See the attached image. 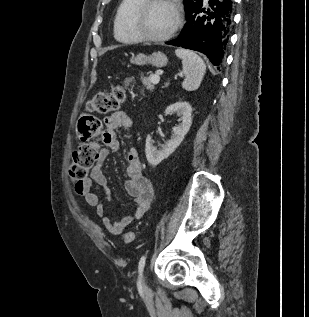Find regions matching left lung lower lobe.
<instances>
[{
  "instance_id": "left-lung-lower-lobe-1",
  "label": "left lung lower lobe",
  "mask_w": 309,
  "mask_h": 317,
  "mask_svg": "<svg viewBox=\"0 0 309 317\" xmlns=\"http://www.w3.org/2000/svg\"><path fill=\"white\" fill-rule=\"evenodd\" d=\"M201 2L186 12L187 23L179 37L166 44L205 54L219 69L225 59L233 22V0Z\"/></svg>"
}]
</instances>
